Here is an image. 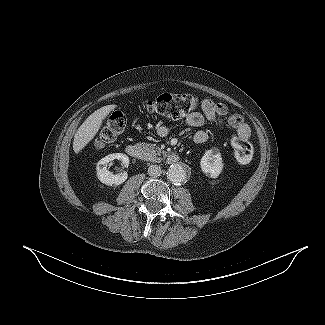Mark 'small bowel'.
<instances>
[{"instance_id": "small-bowel-1", "label": "small bowel", "mask_w": 325, "mask_h": 325, "mask_svg": "<svg viewBox=\"0 0 325 325\" xmlns=\"http://www.w3.org/2000/svg\"><path fill=\"white\" fill-rule=\"evenodd\" d=\"M202 112L189 114L185 122L191 127H202L207 121L217 124H226L236 132V136L244 141H248L251 136L250 127L244 122L239 113H230L229 108L223 103L214 102L211 99H203L201 102ZM159 136L166 137L169 133L168 127L162 125L157 130ZM208 139V134L204 130H198L193 135V140L197 144H202Z\"/></svg>"}]
</instances>
